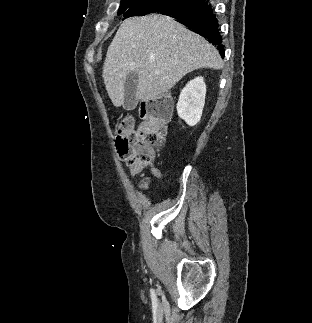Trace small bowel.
Masks as SVG:
<instances>
[{
	"label": "small bowel",
	"instance_id": "small-bowel-1",
	"mask_svg": "<svg viewBox=\"0 0 312 323\" xmlns=\"http://www.w3.org/2000/svg\"><path fill=\"white\" fill-rule=\"evenodd\" d=\"M152 173L156 177L160 176V171L155 166H152ZM150 185H151V179L145 178L139 183L138 188L141 192H147L150 188Z\"/></svg>",
	"mask_w": 312,
	"mask_h": 323
}]
</instances>
